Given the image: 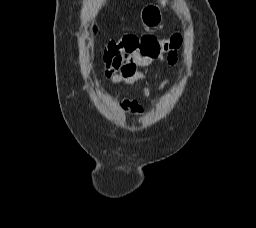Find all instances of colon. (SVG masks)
Returning a JSON list of instances; mask_svg holds the SVG:
<instances>
[{
  "mask_svg": "<svg viewBox=\"0 0 256 228\" xmlns=\"http://www.w3.org/2000/svg\"><path fill=\"white\" fill-rule=\"evenodd\" d=\"M181 45V37L172 35L166 40L159 41L153 35H125L118 40L110 41L104 49L103 60L106 66L114 65L125 54L139 52L143 55L156 57L164 47L177 49Z\"/></svg>",
  "mask_w": 256,
  "mask_h": 228,
  "instance_id": "1",
  "label": "colon"
}]
</instances>
